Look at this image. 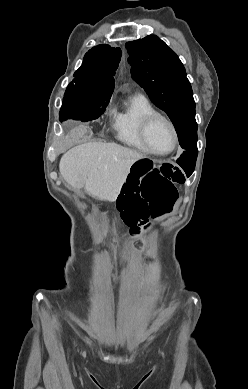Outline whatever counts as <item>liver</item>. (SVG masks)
I'll return each instance as SVG.
<instances>
[{
  "label": "liver",
  "mask_w": 248,
  "mask_h": 389,
  "mask_svg": "<svg viewBox=\"0 0 248 389\" xmlns=\"http://www.w3.org/2000/svg\"><path fill=\"white\" fill-rule=\"evenodd\" d=\"M145 156L116 143L90 142L73 147L59 163L60 174L75 189L92 197L114 201L131 166Z\"/></svg>",
  "instance_id": "liver-1"
}]
</instances>
